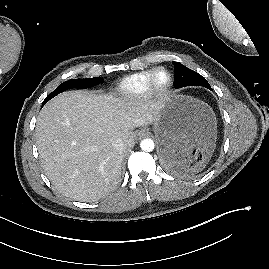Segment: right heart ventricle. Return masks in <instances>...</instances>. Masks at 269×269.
<instances>
[{"label": "right heart ventricle", "instance_id": "right-heart-ventricle-1", "mask_svg": "<svg viewBox=\"0 0 269 269\" xmlns=\"http://www.w3.org/2000/svg\"><path fill=\"white\" fill-rule=\"evenodd\" d=\"M152 70L141 71L123 78L117 92L124 97L138 98L145 94Z\"/></svg>", "mask_w": 269, "mask_h": 269}]
</instances>
